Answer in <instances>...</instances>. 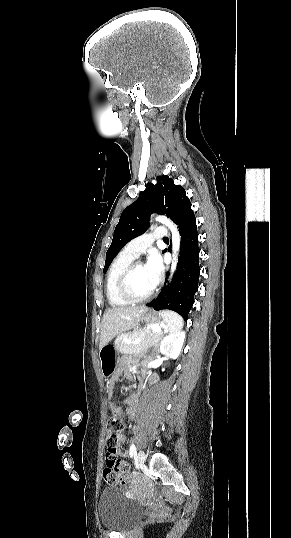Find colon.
<instances>
[{"label":"colon","instance_id":"colon-1","mask_svg":"<svg viewBox=\"0 0 291 538\" xmlns=\"http://www.w3.org/2000/svg\"><path fill=\"white\" fill-rule=\"evenodd\" d=\"M124 427L117 414L108 419L106 437V468L103 472L104 480L108 484H127L130 480L128 465L118 459L117 446L119 439L123 436Z\"/></svg>","mask_w":291,"mask_h":538}]
</instances>
